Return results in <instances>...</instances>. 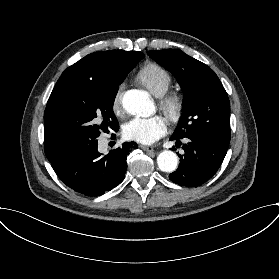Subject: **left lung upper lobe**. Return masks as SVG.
<instances>
[{
	"instance_id": "left-lung-upper-lobe-1",
	"label": "left lung upper lobe",
	"mask_w": 279,
	"mask_h": 279,
	"mask_svg": "<svg viewBox=\"0 0 279 279\" xmlns=\"http://www.w3.org/2000/svg\"><path fill=\"white\" fill-rule=\"evenodd\" d=\"M148 54L173 73L184 93L182 117L173 135L209 132L230 137V101L215 72L178 49Z\"/></svg>"
}]
</instances>
